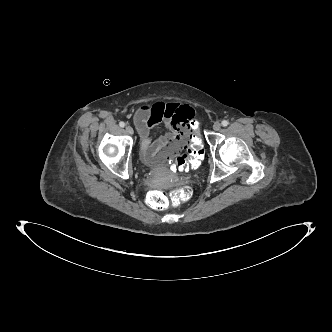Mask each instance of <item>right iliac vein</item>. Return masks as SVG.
<instances>
[{"mask_svg": "<svg viewBox=\"0 0 332 332\" xmlns=\"http://www.w3.org/2000/svg\"><path fill=\"white\" fill-rule=\"evenodd\" d=\"M125 131L129 135H133L134 133L133 128L130 125L126 126Z\"/></svg>", "mask_w": 332, "mask_h": 332, "instance_id": "right-iliac-vein-1", "label": "right iliac vein"}]
</instances>
